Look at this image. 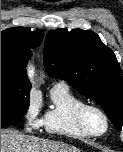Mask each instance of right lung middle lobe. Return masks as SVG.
Here are the masks:
<instances>
[{
  "mask_svg": "<svg viewBox=\"0 0 123 152\" xmlns=\"http://www.w3.org/2000/svg\"><path fill=\"white\" fill-rule=\"evenodd\" d=\"M30 85L1 74V125L20 120L29 107Z\"/></svg>",
  "mask_w": 123,
  "mask_h": 152,
  "instance_id": "obj_1",
  "label": "right lung middle lobe"
}]
</instances>
